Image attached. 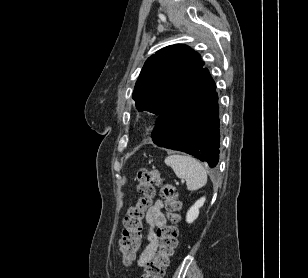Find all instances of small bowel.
I'll return each mask as SVG.
<instances>
[{
  "mask_svg": "<svg viewBox=\"0 0 308 278\" xmlns=\"http://www.w3.org/2000/svg\"><path fill=\"white\" fill-rule=\"evenodd\" d=\"M163 203L157 200L146 213V239L147 245L140 254L137 264L145 266L152 258V255L158 248L156 228H160L166 224V216L162 211Z\"/></svg>",
  "mask_w": 308,
  "mask_h": 278,
  "instance_id": "small-bowel-1",
  "label": "small bowel"
}]
</instances>
